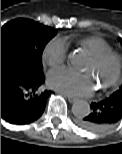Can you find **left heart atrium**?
<instances>
[{"mask_svg":"<svg viewBox=\"0 0 122 154\" xmlns=\"http://www.w3.org/2000/svg\"><path fill=\"white\" fill-rule=\"evenodd\" d=\"M48 84L53 89L71 96H88L94 90V82L89 74L68 68L51 71L48 75Z\"/></svg>","mask_w":122,"mask_h":154,"instance_id":"left-heart-atrium-1","label":"left heart atrium"}]
</instances>
